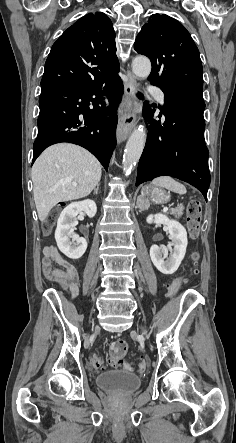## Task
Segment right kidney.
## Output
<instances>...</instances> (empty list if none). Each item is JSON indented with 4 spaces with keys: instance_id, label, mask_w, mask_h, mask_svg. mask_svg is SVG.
<instances>
[{
    "instance_id": "1",
    "label": "right kidney",
    "mask_w": 236,
    "mask_h": 443,
    "mask_svg": "<svg viewBox=\"0 0 236 443\" xmlns=\"http://www.w3.org/2000/svg\"><path fill=\"white\" fill-rule=\"evenodd\" d=\"M85 212L88 217L93 218L97 212L96 203L93 200L72 202L61 212L55 231V240L59 250L71 259H79L87 249L86 239L74 233L78 224L77 215Z\"/></svg>"
}]
</instances>
